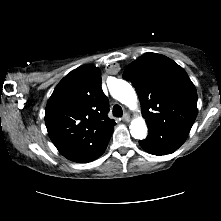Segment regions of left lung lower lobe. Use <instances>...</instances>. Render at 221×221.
Wrapping results in <instances>:
<instances>
[{
	"label": "left lung lower lobe",
	"instance_id": "left-lung-lower-lobe-1",
	"mask_svg": "<svg viewBox=\"0 0 221 221\" xmlns=\"http://www.w3.org/2000/svg\"><path fill=\"white\" fill-rule=\"evenodd\" d=\"M148 136L140 140L141 147L153 155H165L176 151L186 140L189 130L148 125Z\"/></svg>",
	"mask_w": 221,
	"mask_h": 221
}]
</instances>
